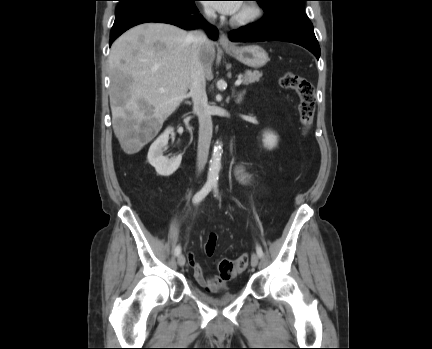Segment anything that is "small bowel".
I'll return each mask as SVG.
<instances>
[{
  "instance_id": "small-bowel-1",
  "label": "small bowel",
  "mask_w": 432,
  "mask_h": 349,
  "mask_svg": "<svg viewBox=\"0 0 432 349\" xmlns=\"http://www.w3.org/2000/svg\"><path fill=\"white\" fill-rule=\"evenodd\" d=\"M235 174L241 183L249 186L255 184L254 178L245 171L244 165L242 163L236 165ZM188 261L192 267L194 278L200 286L208 290H217L225 286V281L219 276L211 278L206 277L202 267L196 261L194 254L191 252L188 253Z\"/></svg>"
}]
</instances>
